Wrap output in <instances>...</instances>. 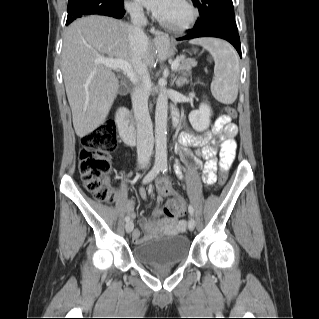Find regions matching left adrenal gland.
I'll return each mask as SVG.
<instances>
[{"mask_svg":"<svg viewBox=\"0 0 319 319\" xmlns=\"http://www.w3.org/2000/svg\"><path fill=\"white\" fill-rule=\"evenodd\" d=\"M173 81L176 83L177 87H182L184 84L188 83V80L186 77H181L178 79L177 77H175Z\"/></svg>","mask_w":319,"mask_h":319,"instance_id":"left-adrenal-gland-1","label":"left adrenal gland"}]
</instances>
